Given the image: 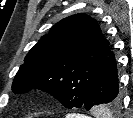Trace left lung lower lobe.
Segmentation results:
<instances>
[{
    "label": "left lung lower lobe",
    "mask_w": 133,
    "mask_h": 118,
    "mask_svg": "<svg viewBox=\"0 0 133 118\" xmlns=\"http://www.w3.org/2000/svg\"><path fill=\"white\" fill-rule=\"evenodd\" d=\"M121 92L119 90L117 64L113 52H110L108 59L92 84L84 101V107L90 110L101 105L104 110L107 105L118 101L121 102ZM112 111V110H109Z\"/></svg>",
    "instance_id": "left-lung-lower-lobe-1"
}]
</instances>
